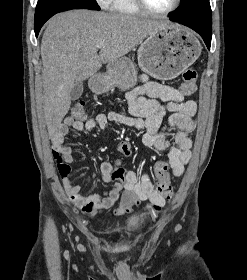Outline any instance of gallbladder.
I'll list each match as a JSON object with an SVG mask.
<instances>
[{"label":"gallbladder","mask_w":247,"mask_h":280,"mask_svg":"<svg viewBox=\"0 0 247 280\" xmlns=\"http://www.w3.org/2000/svg\"><path fill=\"white\" fill-rule=\"evenodd\" d=\"M83 93V82L82 81H76L71 93H70V98L72 101H75L81 97Z\"/></svg>","instance_id":"obj_1"}]
</instances>
